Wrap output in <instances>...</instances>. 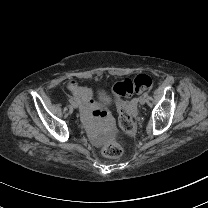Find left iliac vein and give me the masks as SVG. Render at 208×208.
<instances>
[{"label":"left iliac vein","instance_id":"obj_1","mask_svg":"<svg viewBox=\"0 0 208 208\" xmlns=\"http://www.w3.org/2000/svg\"><path fill=\"white\" fill-rule=\"evenodd\" d=\"M146 100H147V99H146L145 96H141V97L139 98V103L143 105V104H145Z\"/></svg>","mask_w":208,"mask_h":208}]
</instances>
